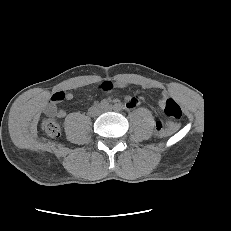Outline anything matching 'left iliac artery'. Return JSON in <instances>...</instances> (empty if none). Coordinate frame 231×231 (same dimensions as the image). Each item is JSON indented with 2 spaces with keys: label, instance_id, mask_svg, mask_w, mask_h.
I'll list each match as a JSON object with an SVG mask.
<instances>
[{
  "label": "left iliac artery",
  "instance_id": "left-iliac-artery-1",
  "mask_svg": "<svg viewBox=\"0 0 231 231\" xmlns=\"http://www.w3.org/2000/svg\"><path fill=\"white\" fill-rule=\"evenodd\" d=\"M114 108L116 109V110H122V108H123V106L120 104V103H116L115 105H114Z\"/></svg>",
  "mask_w": 231,
  "mask_h": 231
}]
</instances>
